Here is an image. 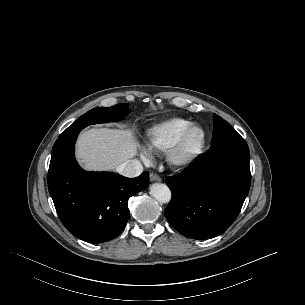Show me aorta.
Returning a JSON list of instances; mask_svg holds the SVG:
<instances>
[{
    "label": "aorta",
    "mask_w": 305,
    "mask_h": 305,
    "mask_svg": "<svg viewBox=\"0 0 305 305\" xmlns=\"http://www.w3.org/2000/svg\"><path fill=\"white\" fill-rule=\"evenodd\" d=\"M150 194L157 201L162 203H168L171 200L170 189L162 183H154L150 186Z\"/></svg>",
    "instance_id": "obj_1"
}]
</instances>
